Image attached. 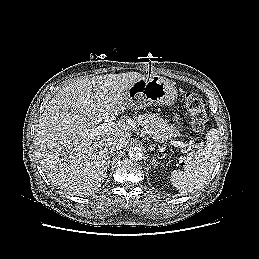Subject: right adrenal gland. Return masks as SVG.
I'll return each mask as SVG.
<instances>
[{
	"instance_id": "right-adrenal-gland-1",
	"label": "right adrenal gland",
	"mask_w": 259,
	"mask_h": 259,
	"mask_svg": "<svg viewBox=\"0 0 259 259\" xmlns=\"http://www.w3.org/2000/svg\"><path fill=\"white\" fill-rule=\"evenodd\" d=\"M112 153H110L109 157H111Z\"/></svg>"
}]
</instances>
